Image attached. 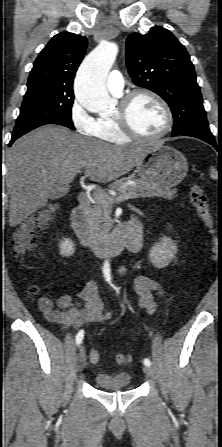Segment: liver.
<instances>
[{
	"label": "liver",
	"mask_w": 222,
	"mask_h": 447,
	"mask_svg": "<svg viewBox=\"0 0 222 447\" xmlns=\"http://www.w3.org/2000/svg\"><path fill=\"white\" fill-rule=\"evenodd\" d=\"M153 145H111L55 125L22 136L6 158L9 225L46 206L52 188L68 185L81 169L90 180L107 183L132 170Z\"/></svg>",
	"instance_id": "1"
}]
</instances>
